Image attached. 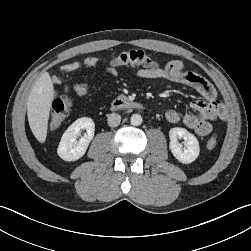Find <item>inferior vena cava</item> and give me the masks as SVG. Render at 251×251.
Masks as SVG:
<instances>
[{"mask_svg":"<svg viewBox=\"0 0 251 251\" xmlns=\"http://www.w3.org/2000/svg\"><path fill=\"white\" fill-rule=\"evenodd\" d=\"M107 121L110 127H117L121 122V116L117 113H112L108 116Z\"/></svg>","mask_w":251,"mask_h":251,"instance_id":"obj_1","label":"inferior vena cava"}]
</instances>
